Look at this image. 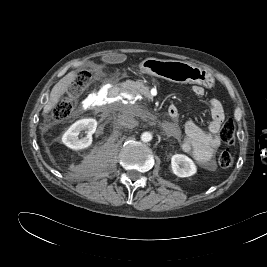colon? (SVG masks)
<instances>
[{
  "label": "colon",
  "instance_id": "5ec220e1",
  "mask_svg": "<svg viewBox=\"0 0 267 267\" xmlns=\"http://www.w3.org/2000/svg\"><path fill=\"white\" fill-rule=\"evenodd\" d=\"M92 75L89 71H82L77 76L76 80L72 83L68 94L59 101L51 112V118L54 121L63 120L71 114L73 110V102L75 96L85 89L91 81ZM221 140L231 145L235 141V123L233 120L228 119L224 122L220 129ZM233 155L229 150H224L220 153L218 157V164L220 168L227 169L233 164Z\"/></svg>",
  "mask_w": 267,
  "mask_h": 267
}]
</instances>
